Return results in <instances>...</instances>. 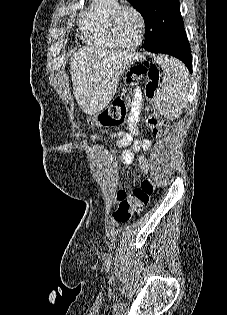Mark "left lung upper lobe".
I'll use <instances>...</instances> for the list:
<instances>
[{
  "instance_id": "1",
  "label": "left lung upper lobe",
  "mask_w": 227,
  "mask_h": 315,
  "mask_svg": "<svg viewBox=\"0 0 227 315\" xmlns=\"http://www.w3.org/2000/svg\"><path fill=\"white\" fill-rule=\"evenodd\" d=\"M143 16L144 46L160 44L185 34L179 0H128Z\"/></svg>"
}]
</instances>
